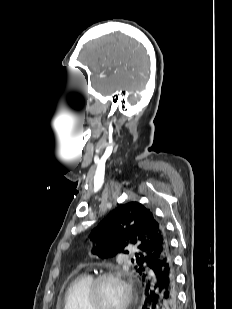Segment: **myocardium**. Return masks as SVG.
Masks as SVG:
<instances>
[{
	"mask_svg": "<svg viewBox=\"0 0 232 309\" xmlns=\"http://www.w3.org/2000/svg\"><path fill=\"white\" fill-rule=\"evenodd\" d=\"M107 280L120 282L126 290V302L122 309H131L135 299V293L127 275L121 270H108L95 275L88 287L87 302L90 309H101L99 291L102 283Z\"/></svg>",
	"mask_w": 232,
	"mask_h": 309,
	"instance_id": "myocardium-1",
	"label": "myocardium"
}]
</instances>
